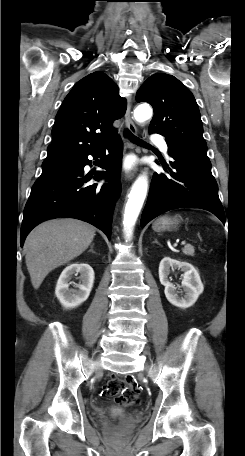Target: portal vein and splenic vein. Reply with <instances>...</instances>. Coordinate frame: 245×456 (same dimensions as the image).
Masks as SVG:
<instances>
[{
	"label": "portal vein and splenic vein",
	"mask_w": 245,
	"mask_h": 456,
	"mask_svg": "<svg viewBox=\"0 0 245 456\" xmlns=\"http://www.w3.org/2000/svg\"><path fill=\"white\" fill-rule=\"evenodd\" d=\"M185 244H186V242H185V241H181V245H185Z\"/></svg>",
	"instance_id": "portal-vein-and-splenic-vein-1"
}]
</instances>
